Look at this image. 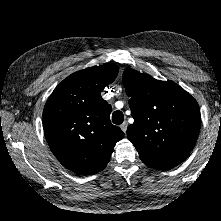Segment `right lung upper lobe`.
Returning a JSON list of instances; mask_svg holds the SVG:
<instances>
[{"instance_id":"obj_1","label":"right lung upper lobe","mask_w":221,"mask_h":221,"mask_svg":"<svg viewBox=\"0 0 221 221\" xmlns=\"http://www.w3.org/2000/svg\"><path fill=\"white\" fill-rule=\"evenodd\" d=\"M114 64L75 72L52 92L43 111L48 145L67 169L82 175L103 170L124 133L110 121L101 92L118 75Z\"/></svg>"}]
</instances>
